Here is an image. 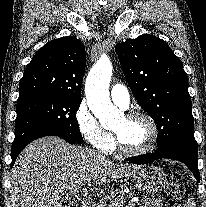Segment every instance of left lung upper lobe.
Listing matches in <instances>:
<instances>
[{"label": "left lung upper lobe", "instance_id": "1", "mask_svg": "<svg viewBox=\"0 0 206 207\" xmlns=\"http://www.w3.org/2000/svg\"><path fill=\"white\" fill-rule=\"evenodd\" d=\"M115 51L135 98L157 125L156 151L197 149L188 77L168 44L143 34Z\"/></svg>", "mask_w": 206, "mask_h": 207}]
</instances>
